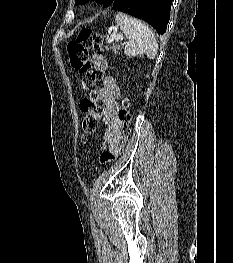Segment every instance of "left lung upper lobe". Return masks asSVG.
Segmentation results:
<instances>
[{
  "mask_svg": "<svg viewBox=\"0 0 233 263\" xmlns=\"http://www.w3.org/2000/svg\"><path fill=\"white\" fill-rule=\"evenodd\" d=\"M87 1L88 0H78L77 3L79 4L80 2L84 3V2H87ZM97 1L103 2L104 6L107 7V6L112 5L115 0H97Z\"/></svg>",
  "mask_w": 233,
  "mask_h": 263,
  "instance_id": "left-lung-upper-lobe-1",
  "label": "left lung upper lobe"
}]
</instances>
